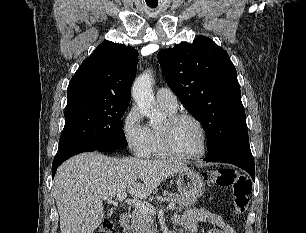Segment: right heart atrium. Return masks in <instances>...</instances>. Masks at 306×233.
<instances>
[{
  "label": "right heart atrium",
  "instance_id": "right-heart-atrium-1",
  "mask_svg": "<svg viewBox=\"0 0 306 233\" xmlns=\"http://www.w3.org/2000/svg\"><path fill=\"white\" fill-rule=\"evenodd\" d=\"M122 133L131 152L138 157H148L152 150V134L136 106L126 113Z\"/></svg>",
  "mask_w": 306,
  "mask_h": 233
}]
</instances>
